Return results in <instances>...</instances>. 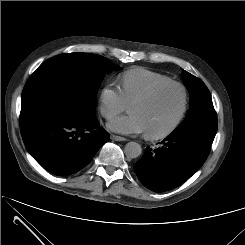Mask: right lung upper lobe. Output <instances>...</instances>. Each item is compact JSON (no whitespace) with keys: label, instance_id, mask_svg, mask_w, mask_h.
Instances as JSON below:
<instances>
[{"label":"right lung upper lobe","instance_id":"1","mask_svg":"<svg viewBox=\"0 0 245 245\" xmlns=\"http://www.w3.org/2000/svg\"><path fill=\"white\" fill-rule=\"evenodd\" d=\"M28 80L38 83L60 82L65 80V75L59 69L53 67L51 63L41 64Z\"/></svg>","mask_w":245,"mask_h":245}]
</instances>
